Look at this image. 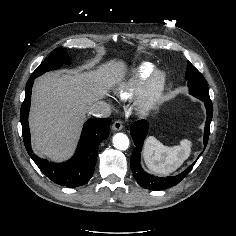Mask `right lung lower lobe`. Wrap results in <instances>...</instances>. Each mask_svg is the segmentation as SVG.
<instances>
[{"instance_id": "1", "label": "right lung lower lobe", "mask_w": 236, "mask_h": 236, "mask_svg": "<svg viewBox=\"0 0 236 236\" xmlns=\"http://www.w3.org/2000/svg\"><path fill=\"white\" fill-rule=\"evenodd\" d=\"M34 79L28 80L20 119L26 150L39 169L54 183L66 187H78L91 178L97 159L98 146L109 135L110 118H95L85 123L73 158L65 163H52L33 154L30 143L28 113Z\"/></svg>"}]
</instances>
